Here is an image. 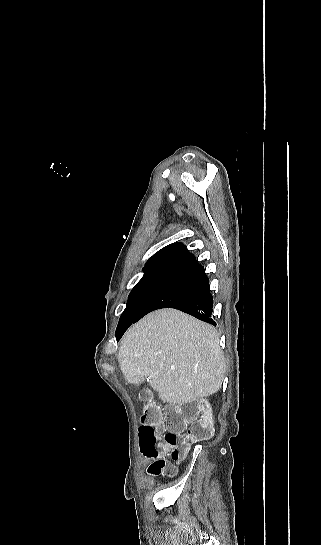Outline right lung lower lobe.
<instances>
[{"label":"right lung lower lobe","mask_w":321,"mask_h":545,"mask_svg":"<svg viewBox=\"0 0 321 545\" xmlns=\"http://www.w3.org/2000/svg\"><path fill=\"white\" fill-rule=\"evenodd\" d=\"M213 298L204 267L196 259L176 269L159 287L133 319L119 322L116 338L119 340L128 327L147 313L160 308H175L202 321L216 325L211 319Z\"/></svg>","instance_id":"right-lung-lower-lobe-1"}]
</instances>
